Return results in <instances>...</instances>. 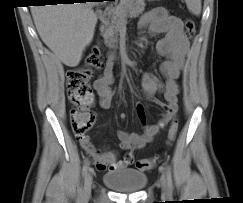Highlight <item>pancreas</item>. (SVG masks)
I'll return each instance as SVG.
<instances>
[{
  "label": "pancreas",
  "mask_w": 243,
  "mask_h": 203,
  "mask_svg": "<svg viewBox=\"0 0 243 203\" xmlns=\"http://www.w3.org/2000/svg\"><path fill=\"white\" fill-rule=\"evenodd\" d=\"M145 9L144 0H121L110 11V21H105L102 26L103 38L109 48L116 49L118 46V32L122 23L128 16L138 17Z\"/></svg>",
  "instance_id": "obj_1"
}]
</instances>
